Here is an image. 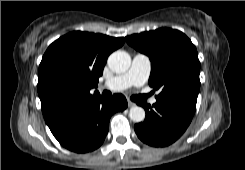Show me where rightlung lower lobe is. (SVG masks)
<instances>
[{"label":"right lung lower lobe","mask_w":245,"mask_h":170,"mask_svg":"<svg viewBox=\"0 0 245 170\" xmlns=\"http://www.w3.org/2000/svg\"><path fill=\"white\" fill-rule=\"evenodd\" d=\"M126 108V98L121 94H115L110 99L97 96L71 110L49 128L65 148L77 153L90 152L103 143L110 117Z\"/></svg>","instance_id":"obj_1"}]
</instances>
